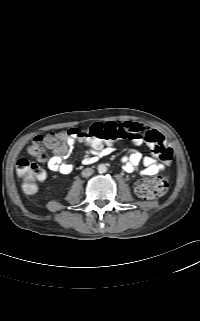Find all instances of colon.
Masks as SVG:
<instances>
[{"mask_svg":"<svg viewBox=\"0 0 200 321\" xmlns=\"http://www.w3.org/2000/svg\"><path fill=\"white\" fill-rule=\"evenodd\" d=\"M79 139L88 141L93 147H99L108 141H115L121 138L119 132L113 129H104L99 125H92L88 128H79L74 132L60 130L49 133L45 136H37L33 139L28 148V153L38 161L46 158L45 148L62 151L72 134ZM172 151H168L164 160L170 162ZM18 176L23 180V189L27 194H33L37 190L36 183L45 177L43 168L36 162L27 158H21L16 165ZM168 188V177L158 175L150 178H143L136 182L135 192L145 199H153L165 194Z\"/></svg>","mask_w":200,"mask_h":321,"instance_id":"1","label":"colon"}]
</instances>
